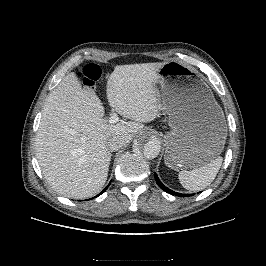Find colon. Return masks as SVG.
<instances>
[{"mask_svg":"<svg viewBox=\"0 0 266 266\" xmlns=\"http://www.w3.org/2000/svg\"><path fill=\"white\" fill-rule=\"evenodd\" d=\"M101 75V68L96 64H87L79 71V78L87 88H92Z\"/></svg>","mask_w":266,"mask_h":266,"instance_id":"5ec220e1","label":"colon"}]
</instances>
